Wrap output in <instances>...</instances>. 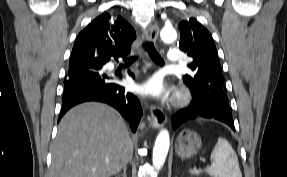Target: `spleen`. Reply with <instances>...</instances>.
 <instances>
[{"mask_svg":"<svg viewBox=\"0 0 287 177\" xmlns=\"http://www.w3.org/2000/svg\"><path fill=\"white\" fill-rule=\"evenodd\" d=\"M210 160L212 165L206 167L204 172L212 177H242L238 157L230 143L225 138H218ZM203 170L196 168L190 170L191 174H199Z\"/></svg>","mask_w":287,"mask_h":177,"instance_id":"obj_1","label":"spleen"}]
</instances>
